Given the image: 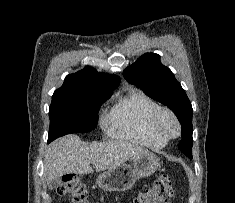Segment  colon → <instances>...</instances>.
I'll list each match as a JSON object with an SVG mask.
<instances>
[{"instance_id":"colon-1","label":"colon","mask_w":235,"mask_h":203,"mask_svg":"<svg viewBox=\"0 0 235 203\" xmlns=\"http://www.w3.org/2000/svg\"><path fill=\"white\" fill-rule=\"evenodd\" d=\"M57 191L60 195L69 196L73 203H88L86 188L76 175H65ZM173 194L171 179L168 176H159L133 203H168Z\"/></svg>"}]
</instances>
